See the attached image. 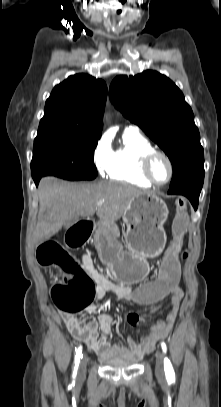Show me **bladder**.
Returning <instances> with one entry per match:
<instances>
[{"label": "bladder", "instance_id": "31cf9c89", "mask_svg": "<svg viewBox=\"0 0 221 407\" xmlns=\"http://www.w3.org/2000/svg\"><path fill=\"white\" fill-rule=\"evenodd\" d=\"M102 363L112 367H131L138 363L137 360H121V359H110V358H100Z\"/></svg>", "mask_w": 221, "mask_h": 407}]
</instances>
